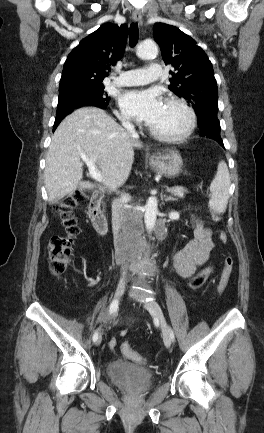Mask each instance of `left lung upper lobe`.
<instances>
[{"label": "left lung upper lobe", "instance_id": "left-lung-upper-lobe-1", "mask_svg": "<svg viewBox=\"0 0 264 433\" xmlns=\"http://www.w3.org/2000/svg\"><path fill=\"white\" fill-rule=\"evenodd\" d=\"M154 39L161 48L165 64H172L175 72L169 89L193 105L196 114L218 112L217 82L205 52L187 34L175 26L157 23ZM206 137L221 139L220 129L209 130Z\"/></svg>", "mask_w": 264, "mask_h": 433}]
</instances>
